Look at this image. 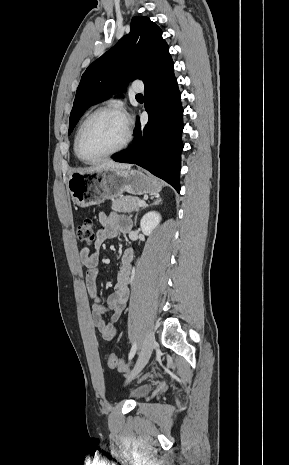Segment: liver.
Listing matches in <instances>:
<instances>
[{"mask_svg": "<svg viewBox=\"0 0 289 465\" xmlns=\"http://www.w3.org/2000/svg\"><path fill=\"white\" fill-rule=\"evenodd\" d=\"M131 166H132L131 164L117 163L112 160H107L99 165L90 167L82 172H89V171H95V170H101V169H128V168H131Z\"/></svg>", "mask_w": 289, "mask_h": 465, "instance_id": "liver-1", "label": "liver"}]
</instances>
